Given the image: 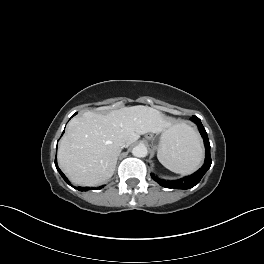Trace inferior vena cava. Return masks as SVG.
I'll return each instance as SVG.
<instances>
[{"label":"inferior vena cava","mask_w":264,"mask_h":264,"mask_svg":"<svg viewBox=\"0 0 264 264\" xmlns=\"http://www.w3.org/2000/svg\"><path fill=\"white\" fill-rule=\"evenodd\" d=\"M121 148L125 147V144L122 142L120 143Z\"/></svg>","instance_id":"1"}]
</instances>
